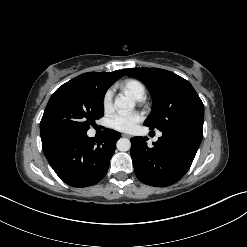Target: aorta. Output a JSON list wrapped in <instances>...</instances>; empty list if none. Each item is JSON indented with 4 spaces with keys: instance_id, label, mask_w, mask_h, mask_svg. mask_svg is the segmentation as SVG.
I'll return each mask as SVG.
<instances>
[{
    "instance_id": "aorta-1",
    "label": "aorta",
    "mask_w": 247,
    "mask_h": 247,
    "mask_svg": "<svg viewBox=\"0 0 247 247\" xmlns=\"http://www.w3.org/2000/svg\"><path fill=\"white\" fill-rule=\"evenodd\" d=\"M115 107L120 110V111H128L131 110L135 107V102L134 100L125 97V96H120L115 99L114 103ZM131 148V142L127 138H120L117 141V149L119 151H128Z\"/></svg>"
}]
</instances>
